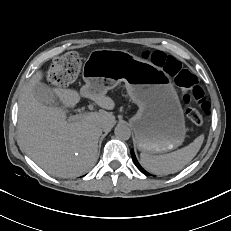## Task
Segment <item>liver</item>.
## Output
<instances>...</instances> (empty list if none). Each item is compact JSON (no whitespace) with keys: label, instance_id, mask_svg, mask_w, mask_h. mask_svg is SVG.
Listing matches in <instances>:
<instances>
[{"label":"liver","instance_id":"liver-1","mask_svg":"<svg viewBox=\"0 0 231 231\" xmlns=\"http://www.w3.org/2000/svg\"><path fill=\"white\" fill-rule=\"evenodd\" d=\"M42 72H37L25 86L19 99L18 128L22 145L30 158L43 170L57 177L72 178L88 172L98 158V140L102 130H111L115 116L105 110L83 113L79 120L66 117L67 108L73 109L81 99L77 90L53 88L61 107L45 105L33 93L40 83ZM83 95L106 110L115 102L105 93Z\"/></svg>","mask_w":231,"mask_h":231}]
</instances>
